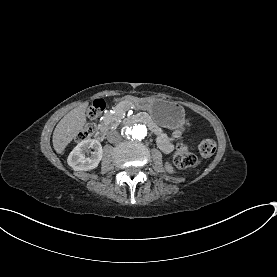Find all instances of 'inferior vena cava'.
<instances>
[{
  "label": "inferior vena cava",
  "instance_id": "602c4592",
  "mask_svg": "<svg viewBox=\"0 0 277 277\" xmlns=\"http://www.w3.org/2000/svg\"><path fill=\"white\" fill-rule=\"evenodd\" d=\"M112 136H115L117 140H120V135L117 132H113Z\"/></svg>",
  "mask_w": 277,
  "mask_h": 277
}]
</instances>
